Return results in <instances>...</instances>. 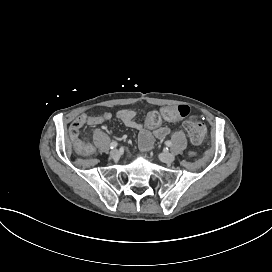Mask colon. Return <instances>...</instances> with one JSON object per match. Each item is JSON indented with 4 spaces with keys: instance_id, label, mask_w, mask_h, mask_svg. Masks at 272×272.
I'll return each mask as SVG.
<instances>
[{
    "instance_id": "colon-1",
    "label": "colon",
    "mask_w": 272,
    "mask_h": 272,
    "mask_svg": "<svg viewBox=\"0 0 272 272\" xmlns=\"http://www.w3.org/2000/svg\"><path fill=\"white\" fill-rule=\"evenodd\" d=\"M177 115L186 118L189 114V107L187 105H179L175 107ZM80 122H75L70 130V135L75 136L78 133ZM184 127L195 145H199L202 142L204 136V125L199 117L193 116L187 118L184 122Z\"/></svg>"
}]
</instances>
